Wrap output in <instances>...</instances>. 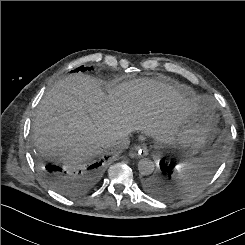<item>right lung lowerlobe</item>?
<instances>
[{"mask_svg": "<svg viewBox=\"0 0 245 245\" xmlns=\"http://www.w3.org/2000/svg\"><path fill=\"white\" fill-rule=\"evenodd\" d=\"M107 159V158H106ZM103 160L84 167L82 170L47 164L40 169L47 182L60 194L75 198L85 194L95 183L102 170Z\"/></svg>", "mask_w": 245, "mask_h": 245, "instance_id": "obj_1", "label": "right lung lower lobe"}]
</instances>
